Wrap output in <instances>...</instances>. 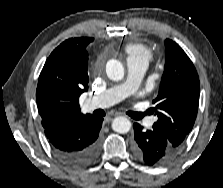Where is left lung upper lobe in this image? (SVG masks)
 Masks as SVG:
<instances>
[{
	"mask_svg": "<svg viewBox=\"0 0 223 188\" xmlns=\"http://www.w3.org/2000/svg\"><path fill=\"white\" fill-rule=\"evenodd\" d=\"M166 63L159 93L152 111L158 116L155 126L161 128L178 149L191 131L198 111L200 83L197 71L182 48L165 40Z\"/></svg>",
	"mask_w": 223,
	"mask_h": 188,
	"instance_id": "left-lung-upper-lobe-1",
	"label": "left lung upper lobe"
}]
</instances>
